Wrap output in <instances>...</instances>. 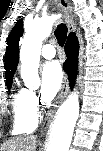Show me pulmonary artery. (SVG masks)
Segmentation results:
<instances>
[{"label":"pulmonary artery","instance_id":"pulmonary-artery-1","mask_svg":"<svg viewBox=\"0 0 103 151\" xmlns=\"http://www.w3.org/2000/svg\"><path fill=\"white\" fill-rule=\"evenodd\" d=\"M41 53L45 59H52L56 54L55 47L52 44H46L43 46Z\"/></svg>","mask_w":103,"mask_h":151}]
</instances>
